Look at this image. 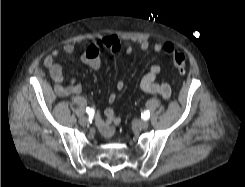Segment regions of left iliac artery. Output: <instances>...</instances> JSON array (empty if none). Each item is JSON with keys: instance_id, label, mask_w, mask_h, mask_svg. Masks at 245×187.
I'll return each mask as SVG.
<instances>
[{"instance_id": "left-iliac-artery-1", "label": "left iliac artery", "mask_w": 245, "mask_h": 187, "mask_svg": "<svg viewBox=\"0 0 245 187\" xmlns=\"http://www.w3.org/2000/svg\"><path fill=\"white\" fill-rule=\"evenodd\" d=\"M141 116H142L144 119H149L150 113H149V111H144V112L142 113Z\"/></svg>"}]
</instances>
